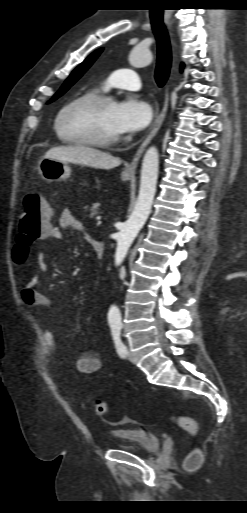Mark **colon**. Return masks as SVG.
Listing matches in <instances>:
<instances>
[{
    "label": "colon",
    "instance_id": "5ec220e1",
    "mask_svg": "<svg viewBox=\"0 0 247 513\" xmlns=\"http://www.w3.org/2000/svg\"><path fill=\"white\" fill-rule=\"evenodd\" d=\"M52 227V210L40 192L28 193L23 201V209L19 218V226L16 244L13 249L14 261L18 264L25 262L30 247L46 236ZM94 413L99 417L109 415L108 404L102 399H95L92 403ZM175 422L191 436L198 433L196 422L190 417L182 416L174 419ZM201 454L198 451L191 452L186 458L188 469H195L201 462Z\"/></svg>",
    "mask_w": 247,
    "mask_h": 513
}]
</instances>
